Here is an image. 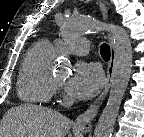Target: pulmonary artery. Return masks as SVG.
<instances>
[{
  "mask_svg": "<svg viewBox=\"0 0 144 137\" xmlns=\"http://www.w3.org/2000/svg\"><path fill=\"white\" fill-rule=\"evenodd\" d=\"M55 48L57 50H64L70 54L83 56L88 54L91 42L84 37L71 38L66 41L57 39L55 41Z\"/></svg>",
  "mask_w": 144,
  "mask_h": 137,
  "instance_id": "obj_1",
  "label": "pulmonary artery"
}]
</instances>
